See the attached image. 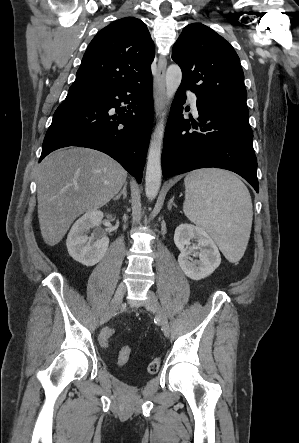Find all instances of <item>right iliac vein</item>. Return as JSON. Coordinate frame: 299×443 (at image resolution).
Wrapping results in <instances>:
<instances>
[{
    "instance_id": "1",
    "label": "right iliac vein",
    "mask_w": 299,
    "mask_h": 443,
    "mask_svg": "<svg viewBox=\"0 0 299 443\" xmlns=\"http://www.w3.org/2000/svg\"><path fill=\"white\" fill-rule=\"evenodd\" d=\"M125 290H126V287H125L124 283H120L115 291L114 297H113L110 305L108 306L106 311L101 316V321H100L101 324L106 323L112 317V315L115 313V311L119 308V306L122 303V300H123V297L125 294Z\"/></svg>"
}]
</instances>
